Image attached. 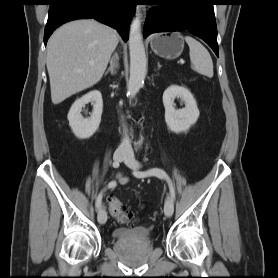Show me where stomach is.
I'll use <instances>...</instances> for the list:
<instances>
[{
	"label": "stomach",
	"mask_w": 278,
	"mask_h": 278,
	"mask_svg": "<svg viewBox=\"0 0 278 278\" xmlns=\"http://www.w3.org/2000/svg\"><path fill=\"white\" fill-rule=\"evenodd\" d=\"M150 45L156 55L166 59H175L181 55L184 41L180 33L172 32L154 35Z\"/></svg>",
	"instance_id": "obj_1"
}]
</instances>
